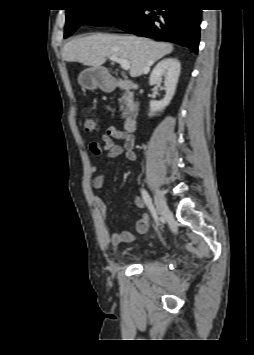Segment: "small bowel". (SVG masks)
I'll use <instances>...</instances> for the list:
<instances>
[{"mask_svg":"<svg viewBox=\"0 0 254 355\" xmlns=\"http://www.w3.org/2000/svg\"><path fill=\"white\" fill-rule=\"evenodd\" d=\"M121 140L122 143H119ZM135 139L134 137L115 126H110L105 134L102 135V143L93 141L89 145V149L92 154L96 156H104L109 159H113L124 155L129 161L136 160V153L134 151ZM98 165H93L91 171L96 173L98 171ZM105 182V176L103 174H98L93 179V187L95 189H101ZM94 204L104 218L107 217V207L101 197L98 195L93 196ZM135 205L138 208L145 207V201L140 196H137L134 200ZM149 228V216L143 213L140 219L136 222V232L139 234H144ZM135 235L130 231L114 232L110 235V242L113 244L127 243L133 241Z\"/></svg>","mask_w":254,"mask_h":355,"instance_id":"1","label":"small bowel"}]
</instances>
